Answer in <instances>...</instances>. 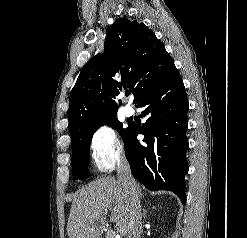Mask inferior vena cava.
Wrapping results in <instances>:
<instances>
[{"label":"inferior vena cava","mask_w":247,"mask_h":238,"mask_svg":"<svg viewBox=\"0 0 247 238\" xmlns=\"http://www.w3.org/2000/svg\"><path fill=\"white\" fill-rule=\"evenodd\" d=\"M117 177L129 195L130 211L127 226V238H141L142 214L137 185L131 175L130 165L122 154L117 163Z\"/></svg>","instance_id":"inferior-vena-cava-1"}]
</instances>
